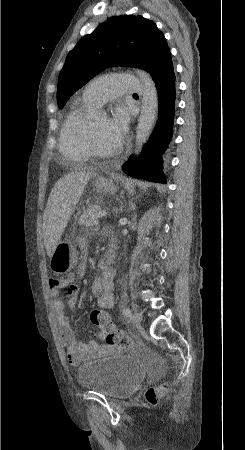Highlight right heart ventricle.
I'll use <instances>...</instances> for the list:
<instances>
[{"label":"right heart ventricle","instance_id":"e07e8e85","mask_svg":"<svg viewBox=\"0 0 245 450\" xmlns=\"http://www.w3.org/2000/svg\"><path fill=\"white\" fill-rule=\"evenodd\" d=\"M96 106L82 94L78 97L65 122L59 137V148L61 153L75 161H86L90 157L87 144L86 129L89 123L87 111Z\"/></svg>","mask_w":245,"mask_h":450}]
</instances>
